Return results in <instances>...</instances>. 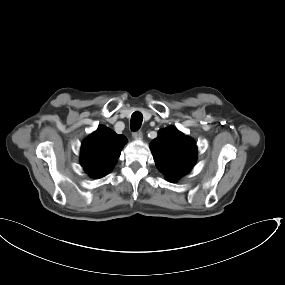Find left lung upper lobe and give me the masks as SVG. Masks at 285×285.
<instances>
[{
  "mask_svg": "<svg viewBox=\"0 0 285 285\" xmlns=\"http://www.w3.org/2000/svg\"><path fill=\"white\" fill-rule=\"evenodd\" d=\"M150 147L157 168L168 181L184 176L195 164L196 143L175 127L160 130Z\"/></svg>",
  "mask_w": 285,
  "mask_h": 285,
  "instance_id": "obj_1",
  "label": "left lung upper lobe"
}]
</instances>
